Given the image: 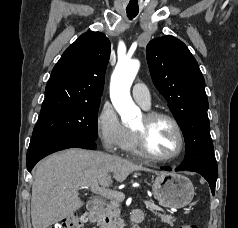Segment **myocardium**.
Here are the masks:
<instances>
[{"instance_id":"1","label":"myocardium","mask_w":238,"mask_h":228,"mask_svg":"<svg viewBox=\"0 0 238 228\" xmlns=\"http://www.w3.org/2000/svg\"><path fill=\"white\" fill-rule=\"evenodd\" d=\"M143 116L148 124H151L152 122L159 120V119H164V120L168 121L173 126V128L176 132L177 139H178V148H177L176 152L171 156H168V157L156 156L148 148L145 131L134 129L133 132H134V135L136 138V143H137L140 153L144 157H146L150 160L156 161V162L165 163V162H171V161L178 159L184 150L185 140H184L183 131L181 129V126L177 122V120L170 114L161 112V111H148Z\"/></svg>"}]
</instances>
